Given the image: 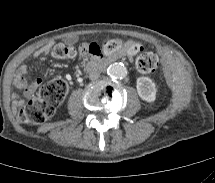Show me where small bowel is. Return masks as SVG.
Returning <instances> with one entry per match:
<instances>
[{
  "mask_svg": "<svg viewBox=\"0 0 215 183\" xmlns=\"http://www.w3.org/2000/svg\"><path fill=\"white\" fill-rule=\"evenodd\" d=\"M49 48L50 44L44 45L33 54V57L37 58L42 55H46L49 52ZM87 55L88 53H86L81 46L80 56L82 58H85ZM28 77H29L28 68L26 66H21L14 80L15 86L23 90L24 97L26 98L31 97L37 90L38 86L41 84L40 79H35L30 82ZM13 102L14 105L18 107L21 104H23V99L20 96L13 94Z\"/></svg>",
  "mask_w": 215,
  "mask_h": 183,
  "instance_id": "c3829d8e",
  "label": "small bowel"
}]
</instances>
